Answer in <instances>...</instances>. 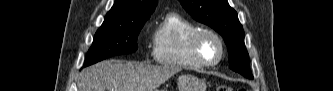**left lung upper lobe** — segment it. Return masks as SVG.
<instances>
[{"label": "left lung upper lobe", "mask_w": 333, "mask_h": 91, "mask_svg": "<svg viewBox=\"0 0 333 91\" xmlns=\"http://www.w3.org/2000/svg\"><path fill=\"white\" fill-rule=\"evenodd\" d=\"M180 3L195 20L222 35L229 52V67L252 78L249 55L244 44V30L236 11L227 0H180Z\"/></svg>", "instance_id": "obj_1"}]
</instances>
